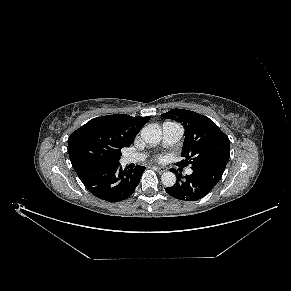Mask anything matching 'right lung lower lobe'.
<instances>
[{"instance_id": "98d812e1", "label": "right lung lower lobe", "mask_w": 291, "mask_h": 291, "mask_svg": "<svg viewBox=\"0 0 291 291\" xmlns=\"http://www.w3.org/2000/svg\"><path fill=\"white\" fill-rule=\"evenodd\" d=\"M144 169L136 166L123 170L119 162L95 160L78 166L75 171L93 195L108 202H118L135 191Z\"/></svg>"}]
</instances>
